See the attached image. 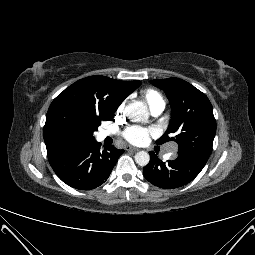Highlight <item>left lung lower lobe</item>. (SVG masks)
I'll return each instance as SVG.
<instances>
[{"label":"left lung lower lobe","instance_id":"obj_1","mask_svg":"<svg viewBox=\"0 0 255 255\" xmlns=\"http://www.w3.org/2000/svg\"><path fill=\"white\" fill-rule=\"evenodd\" d=\"M150 162L144 167L145 178L155 186L173 189L191 182L203 169L206 162L178 156L175 160L162 162L154 152H149Z\"/></svg>","mask_w":255,"mask_h":255}]
</instances>
